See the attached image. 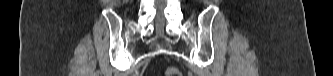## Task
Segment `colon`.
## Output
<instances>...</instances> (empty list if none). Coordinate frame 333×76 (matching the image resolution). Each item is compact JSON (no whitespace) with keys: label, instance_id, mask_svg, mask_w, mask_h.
I'll use <instances>...</instances> for the list:
<instances>
[{"label":"colon","instance_id":"colon-1","mask_svg":"<svg viewBox=\"0 0 333 76\" xmlns=\"http://www.w3.org/2000/svg\"><path fill=\"white\" fill-rule=\"evenodd\" d=\"M167 76H179L181 75L177 68L171 67L166 71Z\"/></svg>","mask_w":333,"mask_h":76}]
</instances>
